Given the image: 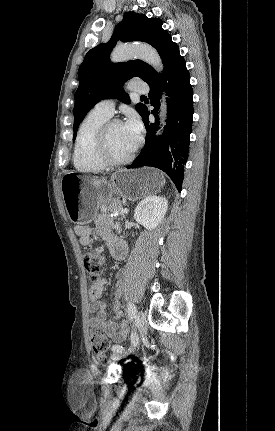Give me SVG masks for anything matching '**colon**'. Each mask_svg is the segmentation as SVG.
Listing matches in <instances>:
<instances>
[{
  "mask_svg": "<svg viewBox=\"0 0 275 431\" xmlns=\"http://www.w3.org/2000/svg\"><path fill=\"white\" fill-rule=\"evenodd\" d=\"M83 262L88 277L93 282L100 280L105 267L104 254L101 251H88L84 254ZM90 344L94 353L99 356H103L109 347L105 333L98 327L90 329Z\"/></svg>",
  "mask_w": 275,
  "mask_h": 431,
  "instance_id": "colon-1",
  "label": "colon"
}]
</instances>
